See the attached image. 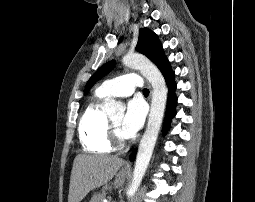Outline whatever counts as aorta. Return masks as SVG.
<instances>
[{
	"instance_id": "1",
	"label": "aorta",
	"mask_w": 255,
	"mask_h": 202,
	"mask_svg": "<svg viewBox=\"0 0 255 202\" xmlns=\"http://www.w3.org/2000/svg\"><path fill=\"white\" fill-rule=\"evenodd\" d=\"M122 62L127 67L140 70L153 88L149 119L138 148L132 183L127 192L131 197L138 190L149 165L163 121L168 90L163 75L146 57L139 54H128L123 57ZM103 110L110 117L121 116L124 114L125 106L121 102L110 99L104 103Z\"/></svg>"
}]
</instances>
